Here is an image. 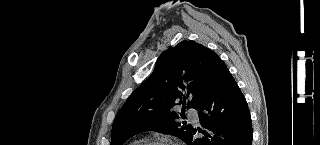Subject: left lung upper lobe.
Segmentation results:
<instances>
[{
    "instance_id": "obj_1",
    "label": "left lung upper lobe",
    "mask_w": 320,
    "mask_h": 145,
    "mask_svg": "<svg viewBox=\"0 0 320 145\" xmlns=\"http://www.w3.org/2000/svg\"><path fill=\"white\" fill-rule=\"evenodd\" d=\"M219 59L214 51L192 40H184L163 52L150 78L129 96L117 113L110 145H122L133 135L149 130L186 142L193 128L178 123L179 115L172 108L183 104L182 117L185 108L198 109L202 82ZM182 80L192 82L185 86Z\"/></svg>"
}]
</instances>
